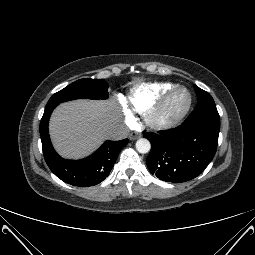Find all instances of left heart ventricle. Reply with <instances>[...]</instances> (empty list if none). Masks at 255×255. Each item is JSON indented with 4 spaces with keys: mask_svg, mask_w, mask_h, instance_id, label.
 I'll return each instance as SVG.
<instances>
[{
    "mask_svg": "<svg viewBox=\"0 0 255 255\" xmlns=\"http://www.w3.org/2000/svg\"><path fill=\"white\" fill-rule=\"evenodd\" d=\"M188 96L186 92L180 91L176 93L168 102L163 115L168 117L178 113L187 103Z\"/></svg>",
    "mask_w": 255,
    "mask_h": 255,
    "instance_id": "1",
    "label": "left heart ventricle"
}]
</instances>
